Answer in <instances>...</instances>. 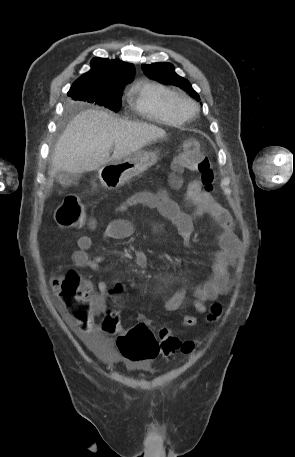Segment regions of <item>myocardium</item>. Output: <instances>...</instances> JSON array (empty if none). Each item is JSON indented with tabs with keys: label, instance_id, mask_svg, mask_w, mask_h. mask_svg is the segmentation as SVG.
<instances>
[{
	"label": "myocardium",
	"instance_id": "myocardium-1",
	"mask_svg": "<svg viewBox=\"0 0 295 457\" xmlns=\"http://www.w3.org/2000/svg\"><path fill=\"white\" fill-rule=\"evenodd\" d=\"M172 106L175 112L184 120L193 117L197 111L196 102L181 94H177L174 97Z\"/></svg>",
	"mask_w": 295,
	"mask_h": 457
}]
</instances>
